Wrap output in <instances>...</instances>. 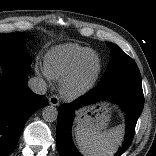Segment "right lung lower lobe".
<instances>
[{"instance_id": "obj_1", "label": "right lung lower lobe", "mask_w": 156, "mask_h": 156, "mask_svg": "<svg viewBox=\"0 0 156 156\" xmlns=\"http://www.w3.org/2000/svg\"><path fill=\"white\" fill-rule=\"evenodd\" d=\"M0 64L5 70L0 78V156H8L29 117L44 107L48 99L29 89L30 64L14 60H1Z\"/></svg>"}]
</instances>
